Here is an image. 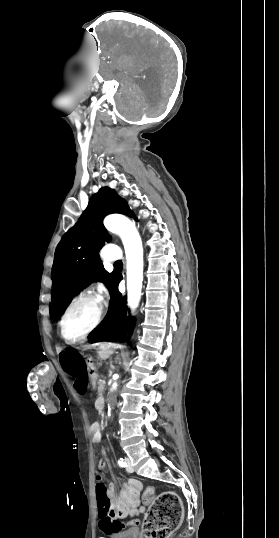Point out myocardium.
Returning <instances> with one entry per match:
<instances>
[{
	"instance_id": "obj_1",
	"label": "myocardium",
	"mask_w": 279,
	"mask_h": 538,
	"mask_svg": "<svg viewBox=\"0 0 279 538\" xmlns=\"http://www.w3.org/2000/svg\"><path fill=\"white\" fill-rule=\"evenodd\" d=\"M85 301H92V302H94L96 304V315H95L92 323L90 324V326L81 335H79L78 337H76L73 340H69V339L66 338V336L64 334V328H65L66 320H67L68 316L70 315V313L72 312V310L76 306H78L79 304H81V303H83ZM103 316H104V304H103L101 298L93 291L83 292L82 294L77 296L75 299H73L69 303V305L65 308L63 314L61 315V317H60V319L58 321L59 334H60L61 338L64 340V342H66L67 344L79 343V342L83 341L84 339H86L91 333H93L98 328V326L102 322Z\"/></svg>"
}]
</instances>
